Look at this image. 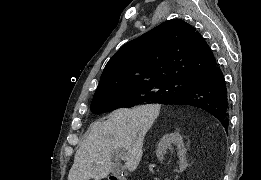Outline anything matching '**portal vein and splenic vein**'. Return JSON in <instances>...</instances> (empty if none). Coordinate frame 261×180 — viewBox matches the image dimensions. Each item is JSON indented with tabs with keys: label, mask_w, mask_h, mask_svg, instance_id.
Listing matches in <instances>:
<instances>
[{
	"label": "portal vein and splenic vein",
	"mask_w": 261,
	"mask_h": 180,
	"mask_svg": "<svg viewBox=\"0 0 261 180\" xmlns=\"http://www.w3.org/2000/svg\"><path fill=\"white\" fill-rule=\"evenodd\" d=\"M120 156H123V160H127V154H126L125 150H122Z\"/></svg>",
	"instance_id": "obj_1"
}]
</instances>
